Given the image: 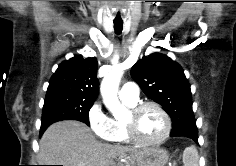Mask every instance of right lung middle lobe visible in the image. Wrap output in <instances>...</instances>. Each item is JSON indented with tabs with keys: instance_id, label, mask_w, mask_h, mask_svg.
Returning <instances> with one entry per match:
<instances>
[{
	"instance_id": "dd1d6c3e",
	"label": "right lung middle lobe",
	"mask_w": 236,
	"mask_h": 166,
	"mask_svg": "<svg viewBox=\"0 0 236 166\" xmlns=\"http://www.w3.org/2000/svg\"><path fill=\"white\" fill-rule=\"evenodd\" d=\"M93 104L94 101L81 98L46 97L43 106L41 129H46L52 123L61 120H78L90 125L89 110Z\"/></svg>"
}]
</instances>
